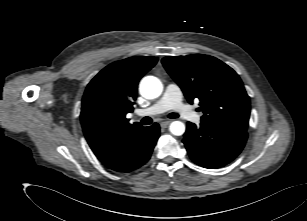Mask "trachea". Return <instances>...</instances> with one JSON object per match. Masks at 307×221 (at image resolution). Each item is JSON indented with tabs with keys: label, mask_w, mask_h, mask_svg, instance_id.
<instances>
[{
	"label": "trachea",
	"mask_w": 307,
	"mask_h": 221,
	"mask_svg": "<svg viewBox=\"0 0 307 221\" xmlns=\"http://www.w3.org/2000/svg\"><path fill=\"white\" fill-rule=\"evenodd\" d=\"M168 117L173 119V118H178L179 115L177 113H170ZM141 122L143 125H149L151 124L152 119L150 117H144Z\"/></svg>",
	"instance_id": "3493384b"
}]
</instances>
